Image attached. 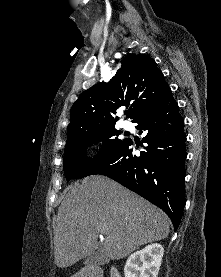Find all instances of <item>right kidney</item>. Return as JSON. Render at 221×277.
Listing matches in <instances>:
<instances>
[{"label":"right kidney","mask_w":221,"mask_h":277,"mask_svg":"<svg viewBox=\"0 0 221 277\" xmlns=\"http://www.w3.org/2000/svg\"><path fill=\"white\" fill-rule=\"evenodd\" d=\"M164 248L154 243L131 254L124 266L125 277H157Z\"/></svg>","instance_id":"1"}]
</instances>
